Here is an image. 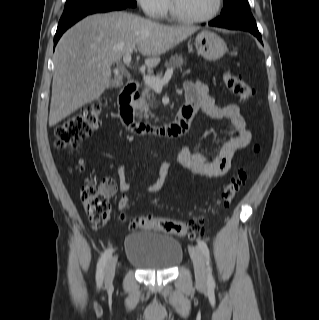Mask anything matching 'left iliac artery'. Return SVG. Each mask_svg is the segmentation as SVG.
<instances>
[{
    "label": "left iliac artery",
    "mask_w": 319,
    "mask_h": 320,
    "mask_svg": "<svg viewBox=\"0 0 319 320\" xmlns=\"http://www.w3.org/2000/svg\"><path fill=\"white\" fill-rule=\"evenodd\" d=\"M198 247L201 250L202 254L204 255L206 259V264H207V275H208V285L213 287L215 286V281L212 276V268L210 266V253H209V248L206 244L205 241L203 240H198Z\"/></svg>",
    "instance_id": "left-iliac-artery-1"
}]
</instances>
